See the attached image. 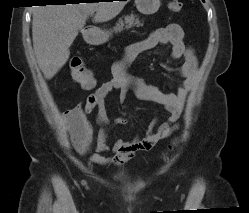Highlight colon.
<instances>
[{
  "label": "colon",
  "mask_w": 249,
  "mask_h": 213,
  "mask_svg": "<svg viewBox=\"0 0 249 213\" xmlns=\"http://www.w3.org/2000/svg\"><path fill=\"white\" fill-rule=\"evenodd\" d=\"M168 7L173 12H180L182 10V3L179 0H169ZM69 64L71 77L75 83L85 89L94 86L95 80L91 72L85 67L81 58L73 57L70 59ZM71 135L77 136V133L71 131Z\"/></svg>",
  "instance_id": "obj_1"
}]
</instances>
